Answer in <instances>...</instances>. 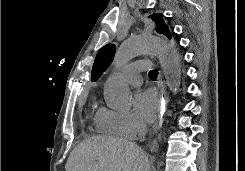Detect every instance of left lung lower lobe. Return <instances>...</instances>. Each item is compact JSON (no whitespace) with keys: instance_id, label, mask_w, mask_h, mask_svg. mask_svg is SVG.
I'll return each mask as SVG.
<instances>
[{"instance_id":"obj_1","label":"left lung lower lobe","mask_w":245,"mask_h":171,"mask_svg":"<svg viewBox=\"0 0 245 171\" xmlns=\"http://www.w3.org/2000/svg\"><path fill=\"white\" fill-rule=\"evenodd\" d=\"M178 67H189V62H178Z\"/></svg>"}]
</instances>
